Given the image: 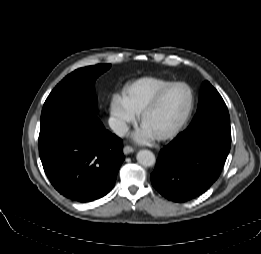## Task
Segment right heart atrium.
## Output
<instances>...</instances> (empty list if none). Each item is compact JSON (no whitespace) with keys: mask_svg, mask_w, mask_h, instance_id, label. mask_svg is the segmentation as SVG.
Listing matches in <instances>:
<instances>
[{"mask_svg":"<svg viewBox=\"0 0 261 254\" xmlns=\"http://www.w3.org/2000/svg\"><path fill=\"white\" fill-rule=\"evenodd\" d=\"M110 113L113 120L114 130L118 134H124L130 124L134 123L137 114L133 111L125 94L113 96Z\"/></svg>","mask_w":261,"mask_h":254,"instance_id":"1","label":"right heart atrium"}]
</instances>
